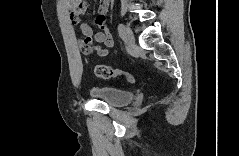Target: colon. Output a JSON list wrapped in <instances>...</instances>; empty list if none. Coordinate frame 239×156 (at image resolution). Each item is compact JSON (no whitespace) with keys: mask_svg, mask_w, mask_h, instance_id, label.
<instances>
[{"mask_svg":"<svg viewBox=\"0 0 239 156\" xmlns=\"http://www.w3.org/2000/svg\"><path fill=\"white\" fill-rule=\"evenodd\" d=\"M95 74L102 79L122 78L129 83L134 82V78L132 75L113 69L107 65H97L95 67Z\"/></svg>","mask_w":239,"mask_h":156,"instance_id":"colon-1","label":"colon"}]
</instances>
